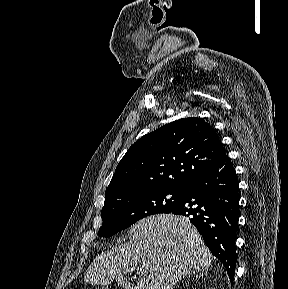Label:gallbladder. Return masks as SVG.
Returning a JSON list of instances; mask_svg holds the SVG:
<instances>
[{
  "label": "gallbladder",
  "mask_w": 288,
  "mask_h": 289,
  "mask_svg": "<svg viewBox=\"0 0 288 289\" xmlns=\"http://www.w3.org/2000/svg\"><path fill=\"white\" fill-rule=\"evenodd\" d=\"M116 282H117L118 284H120L121 286H125V285L128 284L127 280L124 279V278H117V279H116Z\"/></svg>",
  "instance_id": "gallbladder-1"
}]
</instances>
